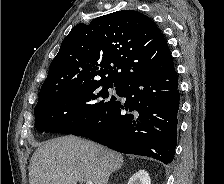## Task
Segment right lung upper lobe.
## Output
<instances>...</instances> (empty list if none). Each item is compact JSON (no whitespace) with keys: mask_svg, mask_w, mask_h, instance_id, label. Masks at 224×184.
<instances>
[{"mask_svg":"<svg viewBox=\"0 0 224 184\" xmlns=\"http://www.w3.org/2000/svg\"><path fill=\"white\" fill-rule=\"evenodd\" d=\"M173 67L168 44L152 19L134 10L117 11L72 28L50 64L38 103L71 86L122 85Z\"/></svg>","mask_w":224,"mask_h":184,"instance_id":"obj_1","label":"right lung upper lobe"}]
</instances>
